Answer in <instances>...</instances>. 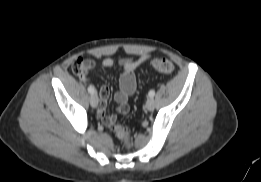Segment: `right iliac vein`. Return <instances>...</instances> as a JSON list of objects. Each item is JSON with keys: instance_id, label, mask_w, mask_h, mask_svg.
Masks as SVG:
<instances>
[{"instance_id": "right-iliac-vein-1", "label": "right iliac vein", "mask_w": 261, "mask_h": 182, "mask_svg": "<svg viewBox=\"0 0 261 182\" xmlns=\"http://www.w3.org/2000/svg\"><path fill=\"white\" fill-rule=\"evenodd\" d=\"M99 102L98 96L96 94H91L90 96V104L92 107H97Z\"/></svg>"}]
</instances>
